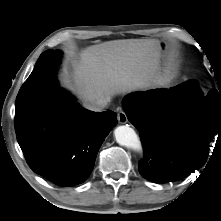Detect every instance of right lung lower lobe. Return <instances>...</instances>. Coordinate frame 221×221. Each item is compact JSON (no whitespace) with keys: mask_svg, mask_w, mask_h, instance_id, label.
Instances as JSON below:
<instances>
[{"mask_svg":"<svg viewBox=\"0 0 221 221\" xmlns=\"http://www.w3.org/2000/svg\"><path fill=\"white\" fill-rule=\"evenodd\" d=\"M42 86L47 88L38 110L24 124L15 126L18 143L35 173L61 187L80 184L91 174L117 115L82 108L58 87L53 74L32 72L18 95Z\"/></svg>","mask_w":221,"mask_h":221,"instance_id":"1","label":"right lung lower lobe"}]
</instances>
